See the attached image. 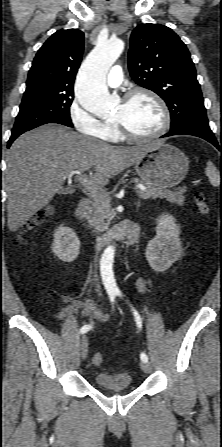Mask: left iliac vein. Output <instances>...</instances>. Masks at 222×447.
<instances>
[{
  "mask_svg": "<svg viewBox=\"0 0 222 447\" xmlns=\"http://www.w3.org/2000/svg\"><path fill=\"white\" fill-rule=\"evenodd\" d=\"M140 368L145 372V373H150L152 371V367L150 365L149 362H144L141 361L140 362Z\"/></svg>",
  "mask_w": 222,
  "mask_h": 447,
  "instance_id": "left-iliac-vein-1",
  "label": "left iliac vein"
}]
</instances>
